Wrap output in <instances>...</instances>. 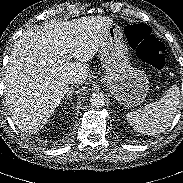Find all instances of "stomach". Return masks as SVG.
Returning <instances> with one entry per match:
<instances>
[{"label": "stomach", "mask_w": 183, "mask_h": 183, "mask_svg": "<svg viewBox=\"0 0 183 183\" xmlns=\"http://www.w3.org/2000/svg\"><path fill=\"white\" fill-rule=\"evenodd\" d=\"M100 60L105 70L102 80L121 105L134 107L145 100L149 89L148 77L130 65L128 47L119 25L112 24L106 31L100 46Z\"/></svg>", "instance_id": "obj_1"}]
</instances>
